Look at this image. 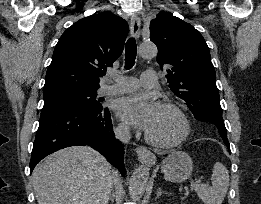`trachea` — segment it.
Instances as JSON below:
<instances>
[{
  "label": "trachea",
  "instance_id": "obj_1",
  "mask_svg": "<svg viewBox=\"0 0 261 204\" xmlns=\"http://www.w3.org/2000/svg\"><path fill=\"white\" fill-rule=\"evenodd\" d=\"M137 45L134 38L128 39L125 46V69H131L135 64Z\"/></svg>",
  "mask_w": 261,
  "mask_h": 204
}]
</instances>
